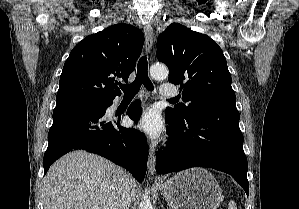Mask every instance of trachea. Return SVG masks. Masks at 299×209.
<instances>
[{
	"label": "trachea",
	"instance_id": "trachea-1",
	"mask_svg": "<svg viewBox=\"0 0 299 209\" xmlns=\"http://www.w3.org/2000/svg\"><path fill=\"white\" fill-rule=\"evenodd\" d=\"M142 84L147 90H154L153 84L148 77V62L146 56H142L138 62L135 80L129 85H121L120 88L125 96H135ZM170 101H175V99H170Z\"/></svg>",
	"mask_w": 299,
	"mask_h": 209
}]
</instances>
